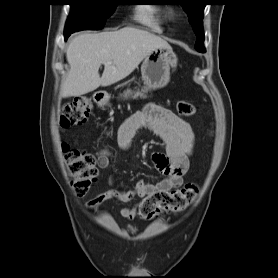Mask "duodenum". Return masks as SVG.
<instances>
[{"instance_id":"obj_1","label":"duodenum","mask_w":278,"mask_h":278,"mask_svg":"<svg viewBox=\"0 0 278 278\" xmlns=\"http://www.w3.org/2000/svg\"><path fill=\"white\" fill-rule=\"evenodd\" d=\"M94 98L97 103H101L104 100L105 96L102 92H96Z\"/></svg>"}]
</instances>
